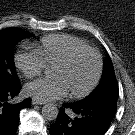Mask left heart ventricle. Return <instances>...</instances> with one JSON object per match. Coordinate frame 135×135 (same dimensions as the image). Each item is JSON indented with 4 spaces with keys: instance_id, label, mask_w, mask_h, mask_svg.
Instances as JSON below:
<instances>
[{
    "instance_id": "1",
    "label": "left heart ventricle",
    "mask_w": 135,
    "mask_h": 135,
    "mask_svg": "<svg viewBox=\"0 0 135 135\" xmlns=\"http://www.w3.org/2000/svg\"><path fill=\"white\" fill-rule=\"evenodd\" d=\"M96 65L95 56L90 52H85L78 55L68 66L52 67L51 76L62 79L69 92L78 93L92 81Z\"/></svg>"
}]
</instances>
